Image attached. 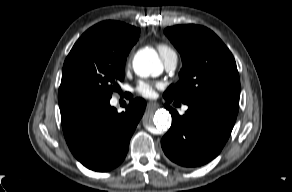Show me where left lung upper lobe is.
Masks as SVG:
<instances>
[{
	"instance_id": "left-lung-upper-lobe-1",
	"label": "left lung upper lobe",
	"mask_w": 292,
	"mask_h": 192,
	"mask_svg": "<svg viewBox=\"0 0 292 192\" xmlns=\"http://www.w3.org/2000/svg\"><path fill=\"white\" fill-rule=\"evenodd\" d=\"M164 33L183 62L179 81L169 86L164 97L184 104L239 105L240 80L234 57L214 32L198 25H177Z\"/></svg>"
}]
</instances>
